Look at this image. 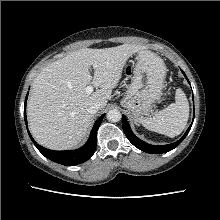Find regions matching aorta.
Wrapping results in <instances>:
<instances>
[{
	"label": "aorta",
	"instance_id": "aorta-1",
	"mask_svg": "<svg viewBox=\"0 0 220 220\" xmlns=\"http://www.w3.org/2000/svg\"><path fill=\"white\" fill-rule=\"evenodd\" d=\"M107 119L110 122H118V121H120L121 120V113H120V111L117 110V109L110 110L107 113Z\"/></svg>",
	"mask_w": 220,
	"mask_h": 220
}]
</instances>
